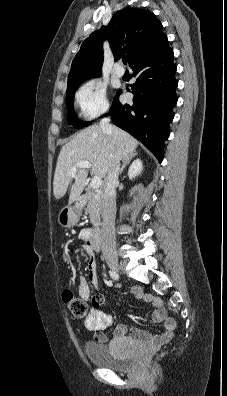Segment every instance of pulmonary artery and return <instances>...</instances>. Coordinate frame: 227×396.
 <instances>
[{
	"instance_id": "obj_1",
	"label": "pulmonary artery",
	"mask_w": 227,
	"mask_h": 396,
	"mask_svg": "<svg viewBox=\"0 0 227 396\" xmlns=\"http://www.w3.org/2000/svg\"><path fill=\"white\" fill-rule=\"evenodd\" d=\"M114 73H115V75H116L117 77L120 78V77H123V76H124L125 70H124V68H123L121 65H118V66L115 68Z\"/></svg>"
}]
</instances>
